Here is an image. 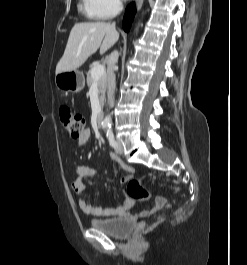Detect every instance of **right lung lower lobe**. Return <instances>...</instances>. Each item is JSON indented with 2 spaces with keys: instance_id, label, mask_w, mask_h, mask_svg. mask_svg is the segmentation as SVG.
Listing matches in <instances>:
<instances>
[{
  "instance_id": "98d812e1",
  "label": "right lung lower lobe",
  "mask_w": 247,
  "mask_h": 265,
  "mask_svg": "<svg viewBox=\"0 0 247 265\" xmlns=\"http://www.w3.org/2000/svg\"><path fill=\"white\" fill-rule=\"evenodd\" d=\"M134 13H135V8L133 4H130L125 11V15H124V19H123V29L128 32L130 27H131V23L133 21V17H134Z\"/></svg>"
}]
</instances>
